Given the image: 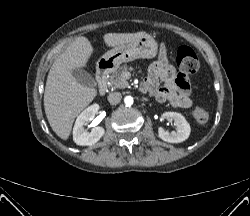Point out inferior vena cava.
<instances>
[{
	"label": "inferior vena cava",
	"instance_id": "inferior-vena-cava-1",
	"mask_svg": "<svg viewBox=\"0 0 250 216\" xmlns=\"http://www.w3.org/2000/svg\"><path fill=\"white\" fill-rule=\"evenodd\" d=\"M122 99V95L120 92H113L108 95V101L110 104L115 105L118 104Z\"/></svg>",
	"mask_w": 250,
	"mask_h": 216
}]
</instances>
